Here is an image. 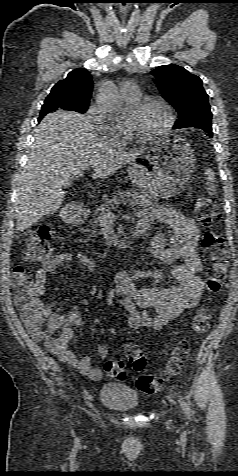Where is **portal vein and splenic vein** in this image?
Masks as SVG:
<instances>
[{"label": "portal vein and splenic vein", "mask_w": 238, "mask_h": 476, "mask_svg": "<svg viewBox=\"0 0 238 476\" xmlns=\"http://www.w3.org/2000/svg\"><path fill=\"white\" fill-rule=\"evenodd\" d=\"M75 175H76L77 178H79V177L83 176V172H77ZM114 219H115V215L111 211H108L107 213H105V215L103 217L104 221H112Z\"/></svg>", "instance_id": "1"}]
</instances>
